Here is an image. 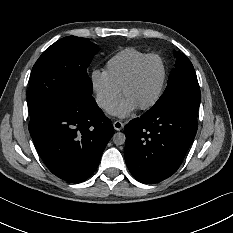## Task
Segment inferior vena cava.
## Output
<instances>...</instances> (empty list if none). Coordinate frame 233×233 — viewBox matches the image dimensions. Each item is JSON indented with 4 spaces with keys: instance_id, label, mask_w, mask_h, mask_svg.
Instances as JSON below:
<instances>
[{
    "instance_id": "inferior-vena-cava-1",
    "label": "inferior vena cava",
    "mask_w": 233,
    "mask_h": 233,
    "mask_svg": "<svg viewBox=\"0 0 233 233\" xmlns=\"http://www.w3.org/2000/svg\"><path fill=\"white\" fill-rule=\"evenodd\" d=\"M97 104L101 109L105 111H109L113 109L115 106H117L118 102L110 101L108 99H99L97 100Z\"/></svg>"
}]
</instances>
